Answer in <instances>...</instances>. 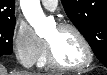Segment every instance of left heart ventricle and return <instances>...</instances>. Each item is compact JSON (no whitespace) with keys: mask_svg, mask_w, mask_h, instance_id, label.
I'll use <instances>...</instances> for the list:
<instances>
[{"mask_svg":"<svg viewBox=\"0 0 107 75\" xmlns=\"http://www.w3.org/2000/svg\"><path fill=\"white\" fill-rule=\"evenodd\" d=\"M46 40L51 44L60 63L74 66L86 60V51L73 31L59 30L55 27L50 31Z\"/></svg>","mask_w":107,"mask_h":75,"instance_id":"left-heart-ventricle-1","label":"left heart ventricle"}]
</instances>
